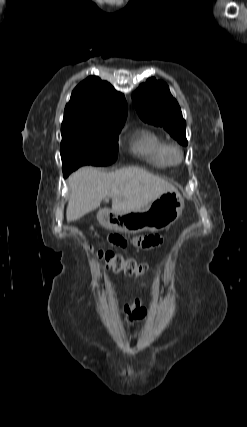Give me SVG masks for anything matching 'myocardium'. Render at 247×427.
<instances>
[{"instance_id":"f54148a6","label":"myocardium","mask_w":247,"mask_h":427,"mask_svg":"<svg viewBox=\"0 0 247 427\" xmlns=\"http://www.w3.org/2000/svg\"><path fill=\"white\" fill-rule=\"evenodd\" d=\"M170 157H171L172 162H174V163L180 162L183 158V154H182V151L180 150V148H178L176 146H171L170 147Z\"/></svg>"}]
</instances>
